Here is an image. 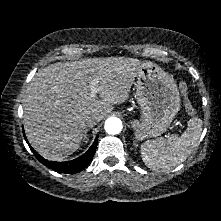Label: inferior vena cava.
Here are the masks:
<instances>
[{"instance_id":"602c4592","label":"inferior vena cava","mask_w":221,"mask_h":221,"mask_svg":"<svg viewBox=\"0 0 221 221\" xmlns=\"http://www.w3.org/2000/svg\"><path fill=\"white\" fill-rule=\"evenodd\" d=\"M98 121V117L95 115H87L84 118V124L88 128H92L93 126H95Z\"/></svg>"}]
</instances>
